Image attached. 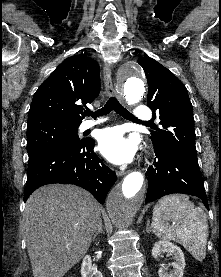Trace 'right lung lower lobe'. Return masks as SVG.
<instances>
[{"instance_id":"98d812e1","label":"right lung lower lobe","mask_w":221,"mask_h":277,"mask_svg":"<svg viewBox=\"0 0 221 277\" xmlns=\"http://www.w3.org/2000/svg\"><path fill=\"white\" fill-rule=\"evenodd\" d=\"M94 144L93 139L87 138L29 158L24 201L43 185L61 183L80 186L104 203L116 174L93 152Z\"/></svg>"}]
</instances>
